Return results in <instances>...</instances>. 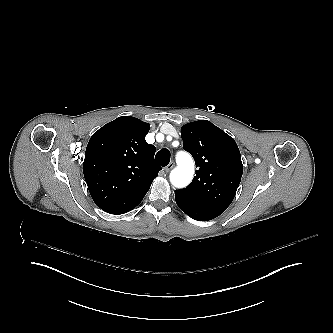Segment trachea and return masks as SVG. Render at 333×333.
<instances>
[{
  "label": "trachea",
  "mask_w": 333,
  "mask_h": 333,
  "mask_svg": "<svg viewBox=\"0 0 333 333\" xmlns=\"http://www.w3.org/2000/svg\"><path fill=\"white\" fill-rule=\"evenodd\" d=\"M156 162L161 166H166L170 162V152L167 149H161L155 156Z\"/></svg>",
  "instance_id": "1"
}]
</instances>
